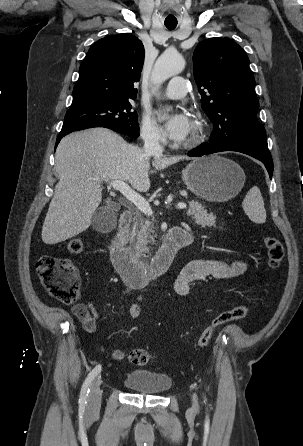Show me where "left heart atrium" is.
<instances>
[{
  "mask_svg": "<svg viewBox=\"0 0 303 446\" xmlns=\"http://www.w3.org/2000/svg\"><path fill=\"white\" fill-rule=\"evenodd\" d=\"M191 119L183 112H174L164 116L165 134L172 140L183 141L190 129Z\"/></svg>",
  "mask_w": 303,
  "mask_h": 446,
  "instance_id": "left-heart-atrium-1",
  "label": "left heart atrium"
}]
</instances>
